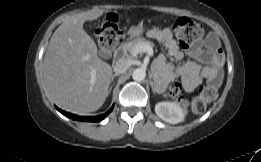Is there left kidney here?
Masks as SVG:
<instances>
[{"label": "left kidney", "mask_w": 261, "mask_h": 162, "mask_svg": "<svg viewBox=\"0 0 261 162\" xmlns=\"http://www.w3.org/2000/svg\"><path fill=\"white\" fill-rule=\"evenodd\" d=\"M155 112L162 120L171 124L182 122L186 115L178 102H159L155 105Z\"/></svg>", "instance_id": "1"}]
</instances>
